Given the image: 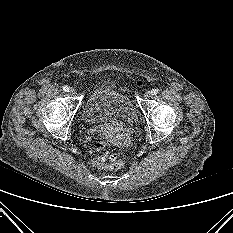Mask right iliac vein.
Here are the masks:
<instances>
[{
	"instance_id": "obj_1",
	"label": "right iliac vein",
	"mask_w": 233,
	"mask_h": 233,
	"mask_svg": "<svg viewBox=\"0 0 233 233\" xmlns=\"http://www.w3.org/2000/svg\"><path fill=\"white\" fill-rule=\"evenodd\" d=\"M69 93H70V95H75V94H76V91H75V89L71 88V89L69 90Z\"/></svg>"
}]
</instances>
